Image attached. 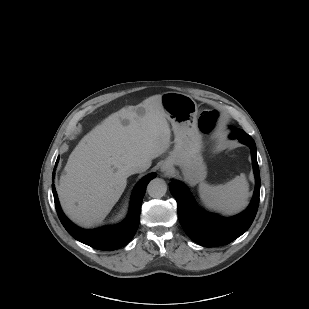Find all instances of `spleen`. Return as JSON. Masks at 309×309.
Masks as SVG:
<instances>
[{
    "mask_svg": "<svg viewBox=\"0 0 309 309\" xmlns=\"http://www.w3.org/2000/svg\"><path fill=\"white\" fill-rule=\"evenodd\" d=\"M199 195L205 206L222 214L231 215L244 209L249 197V186L244 175L225 184L201 183Z\"/></svg>",
    "mask_w": 309,
    "mask_h": 309,
    "instance_id": "3e777b00",
    "label": "spleen"
}]
</instances>
